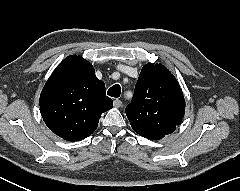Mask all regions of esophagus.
<instances>
[{
  "label": "esophagus",
  "instance_id": "esophagus-1",
  "mask_svg": "<svg viewBox=\"0 0 240 191\" xmlns=\"http://www.w3.org/2000/svg\"><path fill=\"white\" fill-rule=\"evenodd\" d=\"M114 107L120 108L122 106V102L119 99H115L113 102Z\"/></svg>",
  "mask_w": 240,
  "mask_h": 191
}]
</instances>
